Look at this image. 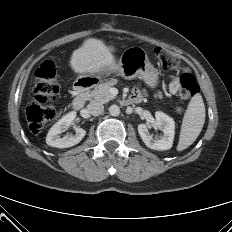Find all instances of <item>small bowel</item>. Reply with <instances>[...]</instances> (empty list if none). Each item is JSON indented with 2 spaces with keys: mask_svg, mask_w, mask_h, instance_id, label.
<instances>
[{
  "mask_svg": "<svg viewBox=\"0 0 232 232\" xmlns=\"http://www.w3.org/2000/svg\"><path fill=\"white\" fill-rule=\"evenodd\" d=\"M179 88H180L179 80L178 79H173L169 84L170 92L174 94L179 90ZM143 94H144V90L141 89L140 87H137V88H135L132 96L136 97V98H139V99H142Z\"/></svg>",
  "mask_w": 232,
  "mask_h": 232,
  "instance_id": "c3829d8e",
  "label": "small bowel"
}]
</instances>
